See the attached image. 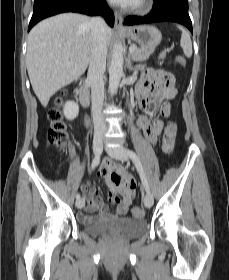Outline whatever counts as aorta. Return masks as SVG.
<instances>
[{
    "instance_id": "aorta-1",
    "label": "aorta",
    "mask_w": 229,
    "mask_h": 280,
    "mask_svg": "<svg viewBox=\"0 0 229 280\" xmlns=\"http://www.w3.org/2000/svg\"><path fill=\"white\" fill-rule=\"evenodd\" d=\"M123 63V47L120 44H115L109 67V90L111 94L115 93L118 89L123 75Z\"/></svg>"
}]
</instances>
